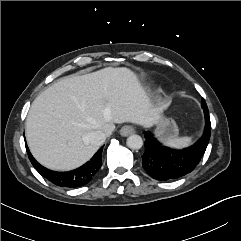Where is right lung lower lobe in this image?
I'll return each mask as SVG.
<instances>
[{
    "label": "right lung lower lobe",
    "mask_w": 241,
    "mask_h": 241,
    "mask_svg": "<svg viewBox=\"0 0 241 241\" xmlns=\"http://www.w3.org/2000/svg\"><path fill=\"white\" fill-rule=\"evenodd\" d=\"M26 150L29 156V159L35 169L49 181L54 180L58 183V186L76 188L86 185L89 181L92 180L93 176L98 172L99 168L102 165L101 155L102 148H100L97 153L92 157L90 161L85 163L78 169H75L70 172H55L51 171L42 165H40L34 157L31 155L27 145Z\"/></svg>",
    "instance_id": "98d812e1"
}]
</instances>
